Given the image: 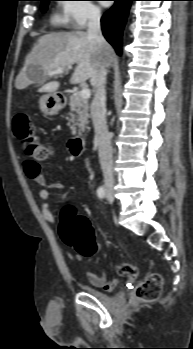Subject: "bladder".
Wrapping results in <instances>:
<instances>
[{
	"label": "bladder",
	"instance_id": "obj_1",
	"mask_svg": "<svg viewBox=\"0 0 193 349\" xmlns=\"http://www.w3.org/2000/svg\"><path fill=\"white\" fill-rule=\"evenodd\" d=\"M86 291L91 295H93L96 299L100 300L101 302H106L109 299V296L100 289H97L94 287H88Z\"/></svg>",
	"mask_w": 193,
	"mask_h": 349
}]
</instances>
